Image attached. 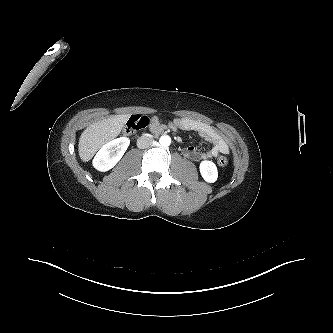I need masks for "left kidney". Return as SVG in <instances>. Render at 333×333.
I'll return each mask as SVG.
<instances>
[{"mask_svg":"<svg viewBox=\"0 0 333 333\" xmlns=\"http://www.w3.org/2000/svg\"><path fill=\"white\" fill-rule=\"evenodd\" d=\"M200 173L203 179L208 183H213L218 178L217 167L212 161H202L200 163Z\"/></svg>","mask_w":333,"mask_h":333,"instance_id":"obj_1","label":"left kidney"}]
</instances>
